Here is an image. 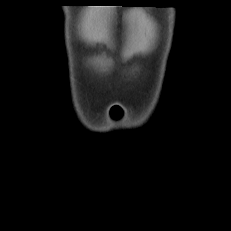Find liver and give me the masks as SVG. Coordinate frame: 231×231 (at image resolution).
<instances>
[{
	"label": "liver",
	"instance_id": "liver-1",
	"mask_svg": "<svg viewBox=\"0 0 231 231\" xmlns=\"http://www.w3.org/2000/svg\"><path fill=\"white\" fill-rule=\"evenodd\" d=\"M93 35L96 36V32H93Z\"/></svg>",
	"mask_w": 231,
	"mask_h": 231
}]
</instances>
